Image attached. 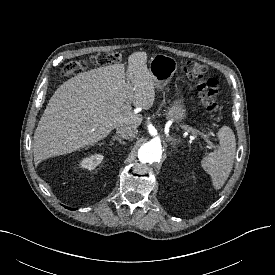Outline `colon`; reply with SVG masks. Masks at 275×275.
Here are the masks:
<instances>
[{
  "mask_svg": "<svg viewBox=\"0 0 275 275\" xmlns=\"http://www.w3.org/2000/svg\"><path fill=\"white\" fill-rule=\"evenodd\" d=\"M121 55L116 51H102L89 58L72 60L62 68V74L73 76L81 73L88 65L106 66L121 60ZM185 76L196 83L202 105L207 112L213 113L219 109L218 89L219 82L216 78L208 77V67L205 64L188 61L183 66Z\"/></svg>",
  "mask_w": 275,
  "mask_h": 275,
  "instance_id": "obj_1",
  "label": "colon"
}]
</instances>
